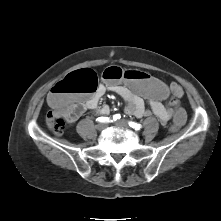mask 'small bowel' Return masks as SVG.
<instances>
[{"mask_svg":"<svg viewBox=\"0 0 221 221\" xmlns=\"http://www.w3.org/2000/svg\"><path fill=\"white\" fill-rule=\"evenodd\" d=\"M164 86L166 88L165 95L160 99L150 100L136 94L132 88H124L122 83H100L95 92L89 95H81L77 98L75 109L68 115V122H74L84 111H91L98 115H108L110 113L109 106H99V102L102 97L110 91L119 95L126 101L125 112L127 114L138 118L153 114L163 125H165L171 120L170 111L172 107L179 105L180 98L183 95V90L176 82H172L170 85H166L164 83ZM166 99H169L167 105L163 103V100ZM146 105H148V109L146 108Z\"/></svg>","mask_w":221,"mask_h":221,"instance_id":"1","label":"small bowel"}]
</instances>
